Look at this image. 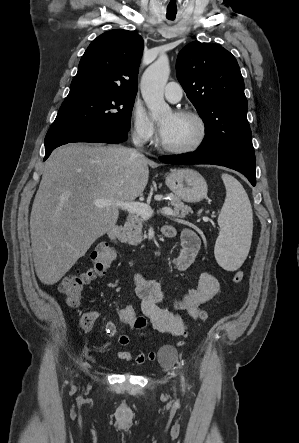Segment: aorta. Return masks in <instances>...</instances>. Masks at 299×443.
I'll list each match as a JSON object with an SVG mask.
<instances>
[{
  "label": "aorta",
  "instance_id": "aorta-1",
  "mask_svg": "<svg viewBox=\"0 0 299 443\" xmlns=\"http://www.w3.org/2000/svg\"><path fill=\"white\" fill-rule=\"evenodd\" d=\"M170 74L167 56H160L144 72L141 79L142 97L155 120L171 114V108L164 100V87Z\"/></svg>",
  "mask_w": 299,
  "mask_h": 443
}]
</instances>
